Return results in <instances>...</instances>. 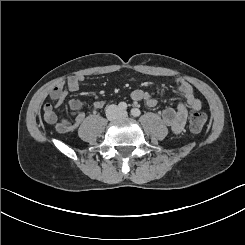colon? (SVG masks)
<instances>
[{"instance_id":"colon-1","label":"colon","mask_w":245,"mask_h":245,"mask_svg":"<svg viewBox=\"0 0 245 245\" xmlns=\"http://www.w3.org/2000/svg\"><path fill=\"white\" fill-rule=\"evenodd\" d=\"M207 121V116L203 112L193 111L189 117V128L193 132H199L203 129Z\"/></svg>"}]
</instances>
